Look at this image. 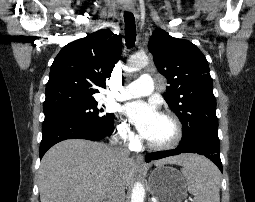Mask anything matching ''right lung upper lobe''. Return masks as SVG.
<instances>
[{
	"mask_svg": "<svg viewBox=\"0 0 255 202\" xmlns=\"http://www.w3.org/2000/svg\"><path fill=\"white\" fill-rule=\"evenodd\" d=\"M113 35L99 30L61 49L50 69L44 113L96 102V87H106L121 56V35Z\"/></svg>",
	"mask_w": 255,
	"mask_h": 202,
	"instance_id": "obj_1",
	"label": "right lung upper lobe"
}]
</instances>
